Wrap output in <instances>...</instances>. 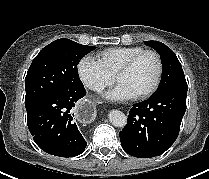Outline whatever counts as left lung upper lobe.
<instances>
[{
	"instance_id": "obj_1",
	"label": "left lung upper lobe",
	"mask_w": 209,
	"mask_h": 179,
	"mask_svg": "<svg viewBox=\"0 0 209 179\" xmlns=\"http://www.w3.org/2000/svg\"><path fill=\"white\" fill-rule=\"evenodd\" d=\"M145 44L154 48L160 54L163 65L162 79L154 94L175 86L187 85L182 66L169 47L158 41H146Z\"/></svg>"
}]
</instances>
